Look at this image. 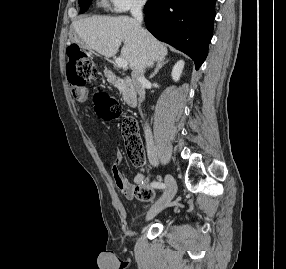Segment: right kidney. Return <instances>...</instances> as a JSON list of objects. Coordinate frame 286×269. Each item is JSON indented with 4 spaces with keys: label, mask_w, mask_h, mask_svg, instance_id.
Instances as JSON below:
<instances>
[{
    "label": "right kidney",
    "mask_w": 286,
    "mask_h": 269,
    "mask_svg": "<svg viewBox=\"0 0 286 269\" xmlns=\"http://www.w3.org/2000/svg\"><path fill=\"white\" fill-rule=\"evenodd\" d=\"M184 68V61L183 60H180L178 61L173 69H172V79L177 82L182 74V70Z\"/></svg>",
    "instance_id": "right-kidney-1"
}]
</instances>
